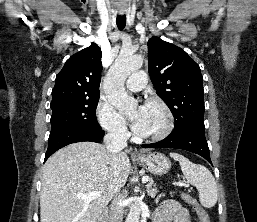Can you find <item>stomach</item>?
<instances>
[{
    "mask_svg": "<svg viewBox=\"0 0 257 222\" xmlns=\"http://www.w3.org/2000/svg\"><path fill=\"white\" fill-rule=\"evenodd\" d=\"M136 161L155 175L166 174L171 168L170 160L164 154L159 152L139 157Z\"/></svg>",
    "mask_w": 257,
    "mask_h": 222,
    "instance_id": "0dacf381",
    "label": "stomach"
}]
</instances>
